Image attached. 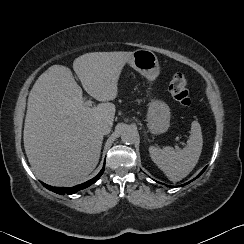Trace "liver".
Returning <instances> with one entry per match:
<instances>
[{
    "label": "liver",
    "mask_w": 244,
    "mask_h": 244,
    "mask_svg": "<svg viewBox=\"0 0 244 244\" xmlns=\"http://www.w3.org/2000/svg\"><path fill=\"white\" fill-rule=\"evenodd\" d=\"M133 52H93L79 56L73 69L84 90L101 103L86 106L81 87L63 65L49 67L33 85L24 125V148L37 176L72 186L87 179L100 158L98 125L113 124L121 71Z\"/></svg>",
    "instance_id": "1"
}]
</instances>
